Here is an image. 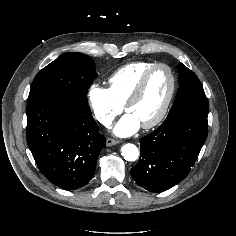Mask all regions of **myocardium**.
I'll use <instances>...</instances> for the list:
<instances>
[{
    "label": "myocardium",
    "instance_id": "f54148a6",
    "mask_svg": "<svg viewBox=\"0 0 236 236\" xmlns=\"http://www.w3.org/2000/svg\"><path fill=\"white\" fill-rule=\"evenodd\" d=\"M163 68L165 70H167L169 76H170V89H169V93L168 96L165 100V103L160 111V113L150 122L143 124L142 127L144 129H151L156 127L157 125H159L164 118L166 117L170 106L172 104L175 92H176V76L172 70V68L164 63H157L155 65H153L152 67H150L148 70L145 71V73L142 75V77L140 78L139 82L137 83L136 87L134 88L133 92L131 93V95L128 97V99L126 100L125 104H124V108L127 111L128 108L135 103L140 96L142 95L145 86L147 84V81L149 79V77L152 75V73L154 71H156L157 69Z\"/></svg>",
    "mask_w": 236,
    "mask_h": 236
}]
</instances>
